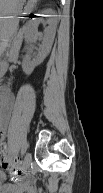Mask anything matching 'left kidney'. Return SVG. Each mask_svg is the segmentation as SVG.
<instances>
[{"label": "left kidney", "instance_id": "left-kidney-1", "mask_svg": "<svg viewBox=\"0 0 103 193\" xmlns=\"http://www.w3.org/2000/svg\"><path fill=\"white\" fill-rule=\"evenodd\" d=\"M43 14H52V10L46 9L43 11ZM39 16H44V15H39ZM47 16L50 17V19L48 20L49 26L44 32V36L42 38V44L40 46L37 57L33 59L32 61H25L22 64V69L24 73L27 75H30L33 72L34 68L40 65L44 61V59L47 57V55L49 54L51 50V47L54 41V37H55L56 28H55V23L52 18V15H47ZM40 22H41L40 19H34V21L31 24L33 32L36 30Z\"/></svg>", "mask_w": 103, "mask_h": 193}]
</instances>
